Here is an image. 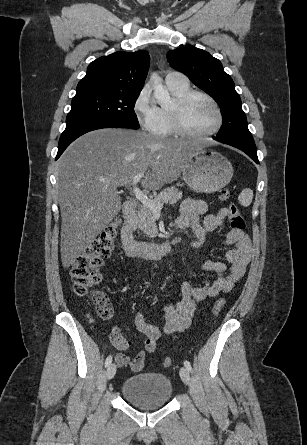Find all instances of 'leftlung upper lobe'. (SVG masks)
Masks as SVG:
<instances>
[{"mask_svg":"<svg viewBox=\"0 0 307 445\" xmlns=\"http://www.w3.org/2000/svg\"><path fill=\"white\" fill-rule=\"evenodd\" d=\"M167 60L218 103L223 122L216 138L253 140L234 82L218 59L189 45L169 51Z\"/></svg>","mask_w":307,"mask_h":445,"instance_id":"1","label":"left lung upper lobe"}]
</instances>
